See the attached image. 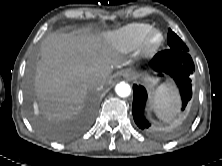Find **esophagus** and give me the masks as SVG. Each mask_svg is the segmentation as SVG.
Wrapping results in <instances>:
<instances>
[{
	"label": "esophagus",
	"mask_w": 222,
	"mask_h": 166,
	"mask_svg": "<svg viewBox=\"0 0 222 166\" xmlns=\"http://www.w3.org/2000/svg\"><path fill=\"white\" fill-rule=\"evenodd\" d=\"M121 75H122L123 77H125V78H129V77L132 76V73H131L129 70H123V71L121 72Z\"/></svg>",
	"instance_id": "34e87169"
}]
</instances>
